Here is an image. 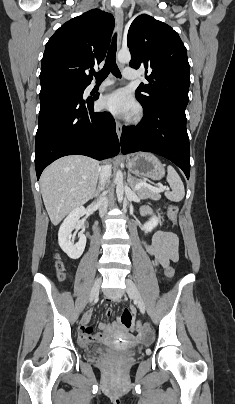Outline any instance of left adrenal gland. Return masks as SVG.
Masks as SVG:
<instances>
[{"instance_id": "obj_1", "label": "left adrenal gland", "mask_w": 235, "mask_h": 404, "mask_svg": "<svg viewBox=\"0 0 235 404\" xmlns=\"http://www.w3.org/2000/svg\"><path fill=\"white\" fill-rule=\"evenodd\" d=\"M127 181H128V183H129V185L134 189V185H135V183H134V178L131 176V174H130L129 172H128Z\"/></svg>"}]
</instances>
